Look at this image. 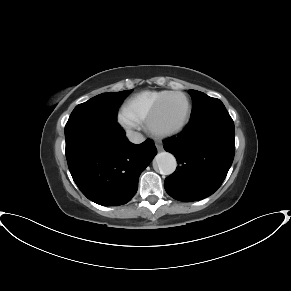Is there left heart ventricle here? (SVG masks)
I'll return each instance as SVG.
<instances>
[{
	"instance_id": "obj_1",
	"label": "left heart ventricle",
	"mask_w": 291,
	"mask_h": 291,
	"mask_svg": "<svg viewBox=\"0 0 291 291\" xmlns=\"http://www.w3.org/2000/svg\"><path fill=\"white\" fill-rule=\"evenodd\" d=\"M187 115L186 100L181 95L169 97L163 104L158 116L157 124L164 129L178 127Z\"/></svg>"
}]
</instances>
